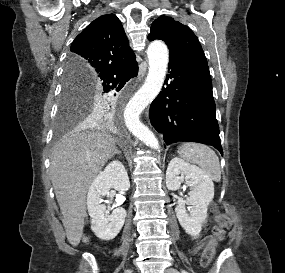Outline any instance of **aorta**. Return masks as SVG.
<instances>
[{
    "label": "aorta",
    "instance_id": "762f6f07",
    "mask_svg": "<svg viewBox=\"0 0 285 273\" xmlns=\"http://www.w3.org/2000/svg\"><path fill=\"white\" fill-rule=\"evenodd\" d=\"M149 61L148 75L142 87L129 101L124 117L126 126L139 140L153 149H159L155 135L139 120L145 107L159 94L167 71L169 54L166 44L160 40L150 43L147 49Z\"/></svg>",
    "mask_w": 285,
    "mask_h": 273
}]
</instances>
